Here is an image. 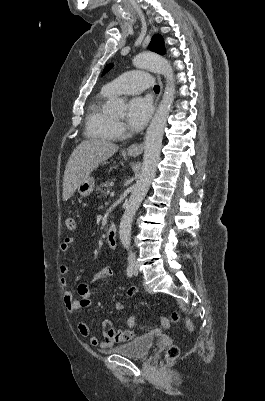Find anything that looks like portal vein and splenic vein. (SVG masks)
Returning <instances> with one entry per match:
<instances>
[{
  "instance_id": "portal-vein-and-splenic-vein-1",
  "label": "portal vein and splenic vein",
  "mask_w": 265,
  "mask_h": 401,
  "mask_svg": "<svg viewBox=\"0 0 265 401\" xmlns=\"http://www.w3.org/2000/svg\"><path fill=\"white\" fill-rule=\"evenodd\" d=\"M115 196V191H112V193L110 194V197Z\"/></svg>"
}]
</instances>
